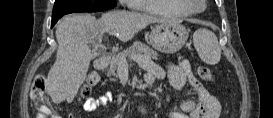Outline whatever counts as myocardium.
<instances>
[{"instance_id": "obj_1", "label": "myocardium", "mask_w": 273, "mask_h": 118, "mask_svg": "<svg viewBox=\"0 0 273 118\" xmlns=\"http://www.w3.org/2000/svg\"><path fill=\"white\" fill-rule=\"evenodd\" d=\"M183 6L191 14L200 13L205 10L206 2L204 0H181Z\"/></svg>"}]
</instances>
